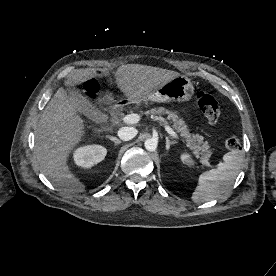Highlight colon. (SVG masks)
I'll list each match as a JSON object with an SVG mask.
<instances>
[{"label":"colon","mask_w":276,"mask_h":276,"mask_svg":"<svg viewBox=\"0 0 276 276\" xmlns=\"http://www.w3.org/2000/svg\"><path fill=\"white\" fill-rule=\"evenodd\" d=\"M83 87L90 92H93L95 89L93 81L91 80L84 82ZM196 100L202 114L211 124H217L221 120V112L218 101L210 92L205 90L199 91L197 93ZM224 145L226 149L235 151L239 149V139L233 135L229 136L226 138Z\"/></svg>","instance_id":"5ec220e1"}]
</instances>
